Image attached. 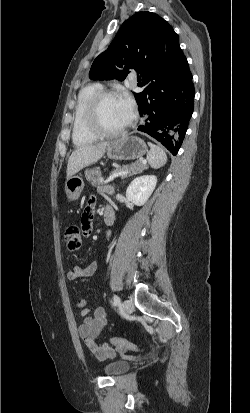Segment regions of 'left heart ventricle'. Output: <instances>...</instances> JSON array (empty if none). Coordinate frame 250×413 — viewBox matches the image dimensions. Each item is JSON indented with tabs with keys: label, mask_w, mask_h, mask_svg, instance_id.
I'll use <instances>...</instances> for the list:
<instances>
[{
	"label": "left heart ventricle",
	"mask_w": 250,
	"mask_h": 413,
	"mask_svg": "<svg viewBox=\"0 0 250 413\" xmlns=\"http://www.w3.org/2000/svg\"><path fill=\"white\" fill-rule=\"evenodd\" d=\"M100 120L102 126L109 131L121 129L129 123L118 97L107 98L102 102Z\"/></svg>",
	"instance_id": "left-heart-ventricle-1"
}]
</instances>
